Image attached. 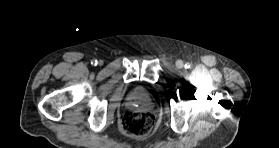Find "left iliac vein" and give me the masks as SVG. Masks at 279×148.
<instances>
[{"label":"left iliac vein","instance_id":"obj_1","mask_svg":"<svg viewBox=\"0 0 279 148\" xmlns=\"http://www.w3.org/2000/svg\"><path fill=\"white\" fill-rule=\"evenodd\" d=\"M176 66H177V68H182L184 65H183V62L181 60H178L176 62Z\"/></svg>","mask_w":279,"mask_h":148}]
</instances>
